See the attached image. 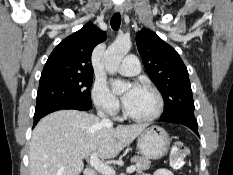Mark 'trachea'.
<instances>
[{"label": "trachea", "instance_id": "1", "mask_svg": "<svg viewBox=\"0 0 233 175\" xmlns=\"http://www.w3.org/2000/svg\"><path fill=\"white\" fill-rule=\"evenodd\" d=\"M111 27L113 30H117L120 27L121 24V15L120 13H115L113 17L111 18Z\"/></svg>", "mask_w": 233, "mask_h": 175}]
</instances>
